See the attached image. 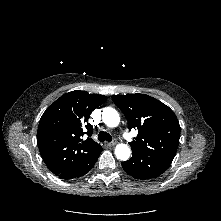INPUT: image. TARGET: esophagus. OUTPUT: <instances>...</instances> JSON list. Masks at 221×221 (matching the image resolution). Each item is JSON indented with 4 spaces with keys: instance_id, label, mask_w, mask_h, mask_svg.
<instances>
[{
    "instance_id": "1",
    "label": "esophagus",
    "mask_w": 221,
    "mask_h": 221,
    "mask_svg": "<svg viewBox=\"0 0 221 221\" xmlns=\"http://www.w3.org/2000/svg\"><path fill=\"white\" fill-rule=\"evenodd\" d=\"M116 143H117L116 141H112V142L107 143V146L111 147V146L116 145Z\"/></svg>"
}]
</instances>
